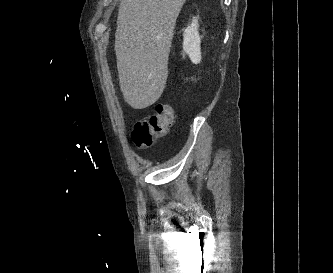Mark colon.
I'll return each mask as SVG.
<instances>
[{"label":"colon","mask_w":333,"mask_h":273,"mask_svg":"<svg viewBox=\"0 0 333 273\" xmlns=\"http://www.w3.org/2000/svg\"><path fill=\"white\" fill-rule=\"evenodd\" d=\"M174 121V109L168 103H159L154 113L147 119L138 122L132 132V139L139 148L154 144L158 137L164 136Z\"/></svg>","instance_id":"1"}]
</instances>
